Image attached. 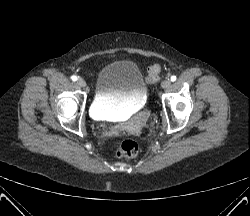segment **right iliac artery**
Returning a JSON list of instances; mask_svg holds the SVG:
<instances>
[{"label":"right iliac artery","instance_id":"82829eb1","mask_svg":"<svg viewBox=\"0 0 250 216\" xmlns=\"http://www.w3.org/2000/svg\"><path fill=\"white\" fill-rule=\"evenodd\" d=\"M71 79H72L73 81H77V77H76L75 75L71 76Z\"/></svg>","mask_w":250,"mask_h":216}]
</instances>
